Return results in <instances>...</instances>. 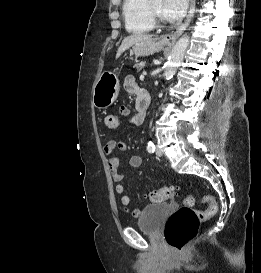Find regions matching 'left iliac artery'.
<instances>
[{
	"instance_id": "obj_1",
	"label": "left iliac artery",
	"mask_w": 261,
	"mask_h": 273,
	"mask_svg": "<svg viewBox=\"0 0 261 273\" xmlns=\"http://www.w3.org/2000/svg\"><path fill=\"white\" fill-rule=\"evenodd\" d=\"M147 150L149 153H153L155 151V145L153 142L151 141L148 142Z\"/></svg>"
}]
</instances>
